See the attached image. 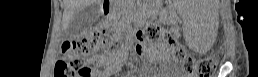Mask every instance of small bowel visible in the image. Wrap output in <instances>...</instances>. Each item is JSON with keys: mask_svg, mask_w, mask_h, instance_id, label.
Segmentation results:
<instances>
[{"mask_svg": "<svg viewBox=\"0 0 258 77\" xmlns=\"http://www.w3.org/2000/svg\"><path fill=\"white\" fill-rule=\"evenodd\" d=\"M153 58L156 59L159 56L160 48L154 47ZM126 52L113 53L110 56H102L100 58V65L102 69L98 71L95 77H105L114 73L124 62L126 58ZM149 70H145V73H148Z\"/></svg>", "mask_w": 258, "mask_h": 77, "instance_id": "small-bowel-1", "label": "small bowel"}]
</instances>
